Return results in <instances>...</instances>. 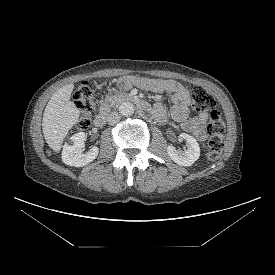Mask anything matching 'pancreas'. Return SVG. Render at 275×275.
Instances as JSON below:
<instances>
[{"instance_id": "1", "label": "pancreas", "mask_w": 275, "mask_h": 275, "mask_svg": "<svg viewBox=\"0 0 275 275\" xmlns=\"http://www.w3.org/2000/svg\"><path fill=\"white\" fill-rule=\"evenodd\" d=\"M131 98L130 94L122 93L119 91H115L114 94H109L104 99L103 105L105 107H115L122 103L123 101L129 100Z\"/></svg>"}]
</instances>
